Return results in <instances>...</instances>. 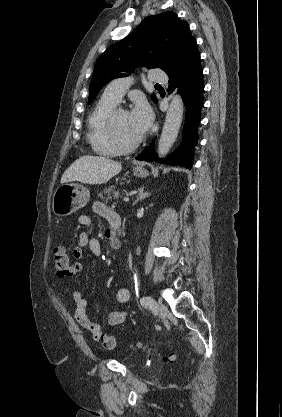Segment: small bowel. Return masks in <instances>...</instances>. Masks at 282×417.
<instances>
[{
  "label": "small bowel",
  "mask_w": 282,
  "mask_h": 417,
  "mask_svg": "<svg viewBox=\"0 0 282 417\" xmlns=\"http://www.w3.org/2000/svg\"><path fill=\"white\" fill-rule=\"evenodd\" d=\"M93 211L106 219L108 228L106 230V237L111 241L112 245L114 242H119L118 234L121 228V218L119 214L110 209L107 205L100 201L93 203ZM78 223L84 226L87 231L80 234L78 238V245L73 249V256L76 261L73 263L75 272H81L83 269L82 260L84 259V252L86 249L96 258H102L104 255L103 247L98 238L92 235L94 230V223L91 217L87 214H81L78 216ZM130 299V290L127 287H119L116 291V301L118 303H127ZM73 300L75 303L74 318L88 331L92 338L97 340H104L106 334L101 329V326L93 321L87 313L88 301L84 294L80 290L73 292ZM127 318L125 311H112L107 316V325L117 326L123 324Z\"/></svg>",
  "instance_id": "c3829d8e"
}]
</instances>
